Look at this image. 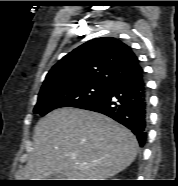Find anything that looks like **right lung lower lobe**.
Returning a JSON list of instances; mask_svg holds the SVG:
<instances>
[{
  "instance_id": "98d812e1",
  "label": "right lung lower lobe",
  "mask_w": 178,
  "mask_h": 186,
  "mask_svg": "<svg viewBox=\"0 0 178 186\" xmlns=\"http://www.w3.org/2000/svg\"><path fill=\"white\" fill-rule=\"evenodd\" d=\"M78 108L102 113L129 128L140 146L146 140L148 94L143 69L123 75L97 97Z\"/></svg>"
}]
</instances>
